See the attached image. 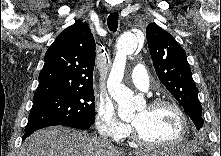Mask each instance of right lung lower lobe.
<instances>
[{
	"instance_id": "right-lung-lower-lobe-1",
	"label": "right lung lower lobe",
	"mask_w": 221,
	"mask_h": 156,
	"mask_svg": "<svg viewBox=\"0 0 221 156\" xmlns=\"http://www.w3.org/2000/svg\"><path fill=\"white\" fill-rule=\"evenodd\" d=\"M64 126H68V127H72V128H77V129H88L91 127V125H87V124H72V125H64ZM34 131H28L25 132L22 140L26 139L29 135H31Z\"/></svg>"
}]
</instances>
